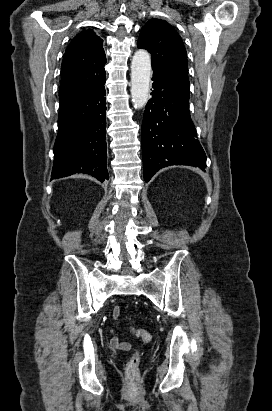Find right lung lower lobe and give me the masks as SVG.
Returning <instances> with one entry per match:
<instances>
[{
    "instance_id": "right-lung-lower-lobe-1",
    "label": "right lung lower lobe",
    "mask_w": 272,
    "mask_h": 411,
    "mask_svg": "<svg viewBox=\"0 0 272 411\" xmlns=\"http://www.w3.org/2000/svg\"><path fill=\"white\" fill-rule=\"evenodd\" d=\"M105 81L60 101L51 180L75 173L90 174L101 182L109 178Z\"/></svg>"
}]
</instances>
